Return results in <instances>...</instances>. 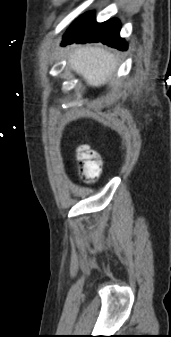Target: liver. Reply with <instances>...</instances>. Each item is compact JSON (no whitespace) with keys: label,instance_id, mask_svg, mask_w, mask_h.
Segmentation results:
<instances>
[{"label":"liver","instance_id":"liver-1","mask_svg":"<svg viewBox=\"0 0 171 337\" xmlns=\"http://www.w3.org/2000/svg\"><path fill=\"white\" fill-rule=\"evenodd\" d=\"M72 69L91 86H101L109 81L116 68L117 60L106 49L91 46H73L68 55Z\"/></svg>","mask_w":171,"mask_h":337}]
</instances>
